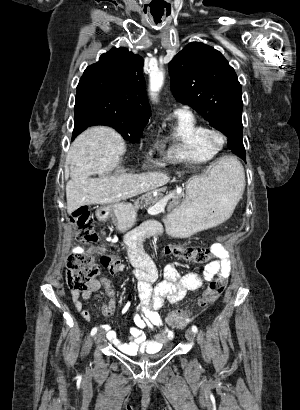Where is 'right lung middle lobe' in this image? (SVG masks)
<instances>
[{
  "mask_svg": "<svg viewBox=\"0 0 300 410\" xmlns=\"http://www.w3.org/2000/svg\"><path fill=\"white\" fill-rule=\"evenodd\" d=\"M74 112L73 138L88 126L107 125L115 128L124 139L137 142L149 121L134 122L113 115L102 94L93 89L77 88Z\"/></svg>",
  "mask_w": 300,
  "mask_h": 410,
  "instance_id": "obj_1",
  "label": "right lung middle lobe"
}]
</instances>
